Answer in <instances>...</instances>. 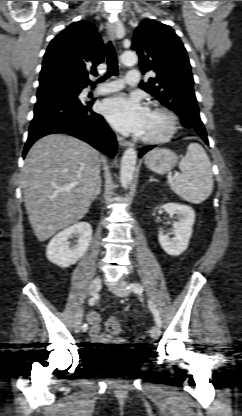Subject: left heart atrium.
I'll use <instances>...</instances> for the list:
<instances>
[{
    "instance_id": "39dd6f15",
    "label": "left heart atrium",
    "mask_w": 242,
    "mask_h": 416,
    "mask_svg": "<svg viewBox=\"0 0 242 416\" xmlns=\"http://www.w3.org/2000/svg\"><path fill=\"white\" fill-rule=\"evenodd\" d=\"M101 112L119 132L141 136L149 110L139 98L118 94L103 102Z\"/></svg>"
}]
</instances>
